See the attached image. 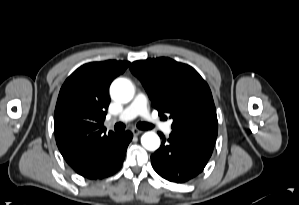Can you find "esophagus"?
<instances>
[{
	"label": "esophagus",
	"instance_id": "esophagus-1",
	"mask_svg": "<svg viewBox=\"0 0 299 205\" xmlns=\"http://www.w3.org/2000/svg\"><path fill=\"white\" fill-rule=\"evenodd\" d=\"M132 133H133L134 136H138L139 134L142 133V131L139 130V129L133 128V129H132Z\"/></svg>",
	"mask_w": 299,
	"mask_h": 205
}]
</instances>
